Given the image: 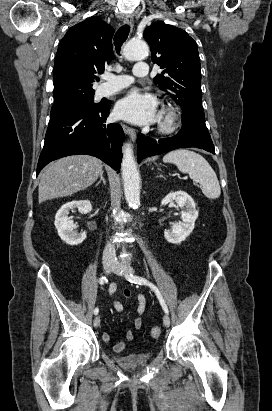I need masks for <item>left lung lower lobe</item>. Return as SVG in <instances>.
<instances>
[{"label": "left lung lower lobe", "mask_w": 272, "mask_h": 411, "mask_svg": "<svg viewBox=\"0 0 272 411\" xmlns=\"http://www.w3.org/2000/svg\"><path fill=\"white\" fill-rule=\"evenodd\" d=\"M197 147L215 154L213 142L205 123H183L179 133L171 138L155 140L141 133L137 137V160L177 148Z\"/></svg>", "instance_id": "0a47b994"}]
</instances>
